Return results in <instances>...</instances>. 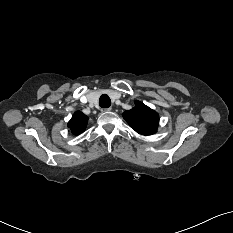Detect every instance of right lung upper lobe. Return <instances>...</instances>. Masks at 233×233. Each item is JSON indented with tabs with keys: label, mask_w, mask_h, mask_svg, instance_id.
I'll list each match as a JSON object with an SVG mask.
<instances>
[{
	"label": "right lung upper lobe",
	"mask_w": 233,
	"mask_h": 233,
	"mask_svg": "<svg viewBox=\"0 0 233 233\" xmlns=\"http://www.w3.org/2000/svg\"><path fill=\"white\" fill-rule=\"evenodd\" d=\"M88 117L82 112H76L68 123V127L72 130V133L78 135L85 130Z\"/></svg>",
	"instance_id": "right-lung-upper-lobe-1"
}]
</instances>
